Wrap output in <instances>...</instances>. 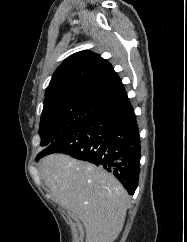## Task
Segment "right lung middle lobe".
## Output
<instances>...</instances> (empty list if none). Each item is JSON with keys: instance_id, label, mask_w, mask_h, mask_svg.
I'll use <instances>...</instances> for the list:
<instances>
[{"instance_id": "dd1d6c3e", "label": "right lung middle lobe", "mask_w": 187, "mask_h": 242, "mask_svg": "<svg viewBox=\"0 0 187 242\" xmlns=\"http://www.w3.org/2000/svg\"><path fill=\"white\" fill-rule=\"evenodd\" d=\"M103 107L73 103L49 109L41 114L39 135L40 146H49L58 138L95 117Z\"/></svg>"}]
</instances>
